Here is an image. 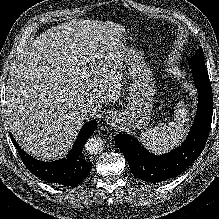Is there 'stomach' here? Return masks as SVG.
Returning a JSON list of instances; mask_svg holds the SVG:
<instances>
[{"instance_id":"1","label":"stomach","mask_w":219,"mask_h":219,"mask_svg":"<svg viewBox=\"0 0 219 219\" xmlns=\"http://www.w3.org/2000/svg\"><path fill=\"white\" fill-rule=\"evenodd\" d=\"M119 53L128 70L129 102L112 115V121L128 130L145 129L150 122L156 93L153 73L141 50L125 44L119 48Z\"/></svg>"}]
</instances>
